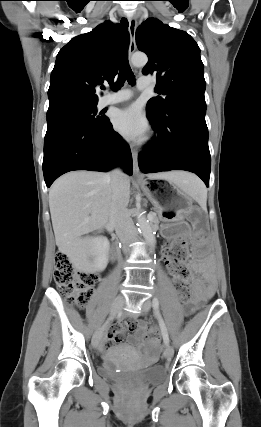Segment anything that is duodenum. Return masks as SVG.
Masks as SVG:
<instances>
[{
	"label": "duodenum",
	"instance_id": "1",
	"mask_svg": "<svg viewBox=\"0 0 261 427\" xmlns=\"http://www.w3.org/2000/svg\"><path fill=\"white\" fill-rule=\"evenodd\" d=\"M115 255H116V251L113 252V256H115Z\"/></svg>",
	"mask_w": 261,
	"mask_h": 427
}]
</instances>
